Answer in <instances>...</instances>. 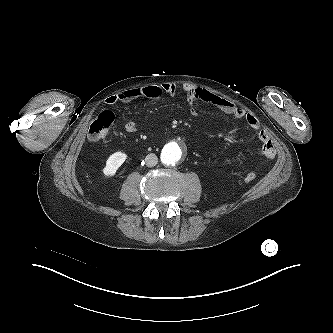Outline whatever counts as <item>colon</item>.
<instances>
[{
  "mask_svg": "<svg viewBox=\"0 0 333 333\" xmlns=\"http://www.w3.org/2000/svg\"><path fill=\"white\" fill-rule=\"evenodd\" d=\"M114 121V115L110 110H103L99 113L97 118L91 123L89 128V138L93 142H97L105 137L108 133L112 123ZM256 178L255 173L249 172L246 174L247 181H254Z\"/></svg>",
  "mask_w": 333,
  "mask_h": 333,
  "instance_id": "obj_1",
  "label": "colon"
}]
</instances>
